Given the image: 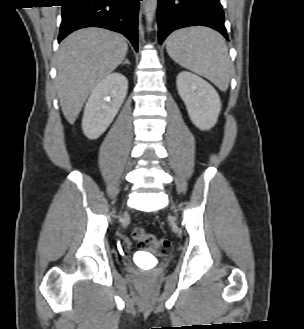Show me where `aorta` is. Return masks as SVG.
Wrapping results in <instances>:
<instances>
[{
	"label": "aorta",
	"mask_w": 304,
	"mask_h": 329,
	"mask_svg": "<svg viewBox=\"0 0 304 329\" xmlns=\"http://www.w3.org/2000/svg\"><path fill=\"white\" fill-rule=\"evenodd\" d=\"M144 1L145 18L147 21L148 28H150L157 8V0Z\"/></svg>",
	"instance_id": "obj_1"
}]
</instances>
